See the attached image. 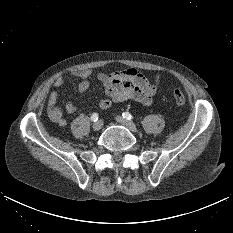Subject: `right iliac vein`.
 I'll list each match as a JSON object with an SVG mask.
<instances>
[{
  "label": "right iliac vein",
  "instance_id": "1",
  "mask_svg": "<svg viewBox=\"0 0 233 233\" xmlns=\"http://www.w3.org/2000/svg\"><path fill=\"white\" fill-rule=\"evenodd\" d=\"M103 126V122L101 120H98L97 122H95L92 126L94 131H99Z\"/></svg>",
  "mask_w": 233,
  "mask_h": 233
}]
</instances>
